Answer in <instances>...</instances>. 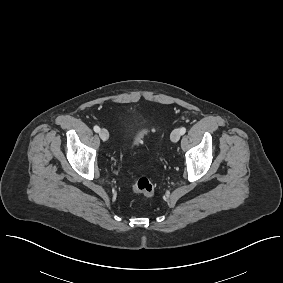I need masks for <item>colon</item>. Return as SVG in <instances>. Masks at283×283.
<instances>
[{"instance_id":"5ec220e1","label":"colon","mask_w":283,"mask_h":283,"mask_svg":"<svg viewBox=\"0 0 283 283\" xmlns=\"http://www.w3.org/2000/svg\"><path fill=\"white\" fill-rule=\"evenodd\" d=\"M145 134L146 131L140 132L135 139V143H140ZM133 190L147 198H152L155 194L154 185L147 177H139L136 179L133 184Z\"/></svg>"}]
</instances>
